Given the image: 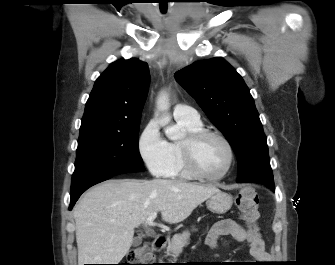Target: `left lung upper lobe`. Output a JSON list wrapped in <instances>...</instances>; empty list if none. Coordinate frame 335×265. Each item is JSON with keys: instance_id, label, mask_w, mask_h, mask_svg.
<instances>
[{"instance_id": "1", "label": "left lung upper lobe", "mask_w": 335, "mask_h": 265, "mask_svg": "<svg viewBox=\"0 0 335 265\" xmlns=\"http://www.w3.org/2000/svg\"><path fill=\"white\" fill-rule=\"evenodd\" d=\"M210 121L222 132L238 160V182L274 184L267 138L242 77L224 59L194 63L175 73Z\"/></svg>"}]
</instances>
